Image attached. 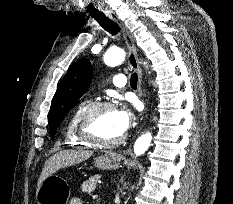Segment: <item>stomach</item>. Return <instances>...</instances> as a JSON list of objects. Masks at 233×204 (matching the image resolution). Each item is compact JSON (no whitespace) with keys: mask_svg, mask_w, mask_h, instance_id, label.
Returning a JSON list of instances; mask_svg holds the SVG:
<instances>
[{"mask_svg":"<svg viewBox=\"0 0 233 204\" xmlns=\"http://www.w3.org/2000/svg\"><path fill=\"white\" fill-rule=\"evenodd\" d=\"M122 157L116 153H106L94 160V165L102 170H115L121 167ZM70 188L67 182L57 176L47 177L36 192L37 204H67Z\"/></svg>","mask_w":233,"mask_h":204,"instance_id":"obj_1","label":"stomach"}]
</instances>
